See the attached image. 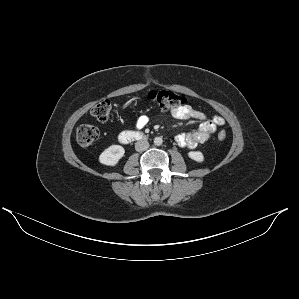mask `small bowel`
<instances>
[{
  "mask_svg": "<svg viewBox=\"0 0 299 299\" xmlns=\"http://www.w3.org/2000/svg\"><path fill=\"white\" fill-rule=\"evenodd\" d=\"M173 117L181 120L195 119L201 121L198 130L180 133L176 136V143L181 147L194 148L209 141L216 132L218 126H222L225 120L221 116L208 119L206 114L194 109L190 105H183L171 111ZM148 123V117L141 115L135 120V131H141Z\"/></svg>",
  "mask_w": 299,
  "mask_h": 299,
  "instance_id": "small-bowel-1",
  "label": "small bowel"
}]
</instances>
